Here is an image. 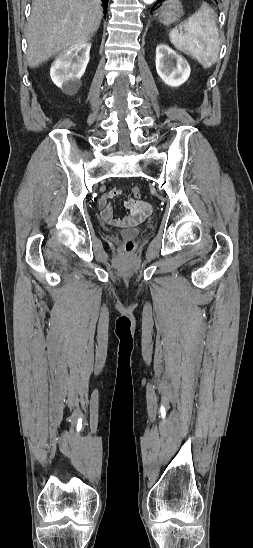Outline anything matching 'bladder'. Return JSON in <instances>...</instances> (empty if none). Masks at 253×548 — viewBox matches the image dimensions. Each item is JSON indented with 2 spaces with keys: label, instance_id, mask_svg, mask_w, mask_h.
<instances>
[{
  "label": "bladder",
  "instance_id": "31cf9c89",
  "mask_svg": "<svg viewBox=\"0 0 253 548\" xmlns=\"http://www.w3.org/2000/svg\"><path fill=\"white\" fill-rule=\"evenodd\" d=\"M122 235L129 238H135L140 235V231L138 229H129L123 231Z\"/></svg>",
  "mask_w": 253,
  "mask_h": 548
}]
</instances>
